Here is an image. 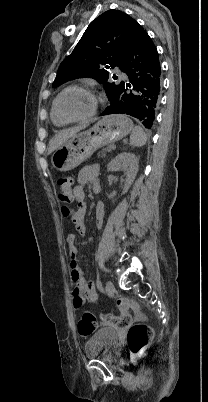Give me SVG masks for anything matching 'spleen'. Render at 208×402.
<instances>
[{"label":"spleen","instance_id":"obj_1","mask_svg":"<svg viewBox=\"0 0 208 402\" xmlns=\"http://www.w3.org/2000/svg\"><path fill=\"white\" fill-rule=\"evenodd\" d=\"M146 142H147V136L143 128H141V126H135L130 136L131 146H138V148H140V146H145Z\"/></svg>","mask_w":208,"mask_h":402}]
</instances>
